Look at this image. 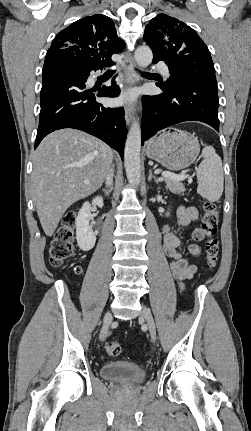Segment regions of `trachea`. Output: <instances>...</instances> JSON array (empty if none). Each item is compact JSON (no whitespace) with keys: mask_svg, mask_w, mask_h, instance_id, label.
<instances>
[{"mask_svg":"<svg viewBox=\"0 0 251 431\" xmlns=\"http://www.w3.org/2000/svg\"><path fill=\"white\" fill-rule=\"evenodd\" d=\"M107 73H108V74H114V73H115V70H108V71H107Z\"/></svg>","mask_w":251,"mask_h":431,"instance_id":"1","label":"trachea"}]
</instances>
